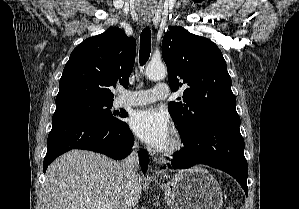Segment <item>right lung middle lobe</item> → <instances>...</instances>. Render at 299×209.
<instances>
[{"label":"right lung middle lobe","mask_w":299,"mask_h":209,"mask_svg":"<svg viewBox=\"0 0 299 209\" xmlns=\"http://www.w3.org/2000/svg\"><path fill=\"white\" fill-rule=\"evenodd\" d=\"M112 105L113 102H70L56 105V111H73L86 117L92 118L93 120L100 123L117 125L122 122L120 118H124L127 115L125 112L112 113L110 111Z\"/></svg>","instance_id":"right-lung-middle-lobe-1"}]
</instances>
